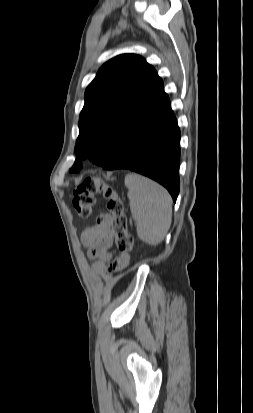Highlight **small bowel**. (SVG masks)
<instances>
[{
    "label": "small bowel",
    "mask_w": 253,
    "mask_h": 413,
    "mask_svg": "<svg viewBox=\"0 0 253 413\" xmlns=\"http://www.w3.org/2000/svg\"><path fill=\"white\" fill-rule=\"evenodd\" d=\"M81 240L88 256L94 260L93 269L96 272H117L128 265L129 256L112 260V219L108 213L100 214L96 223L82 232Z\"/></svg>",
    "instance_id": "c3829d8e"
}]
</instances>
